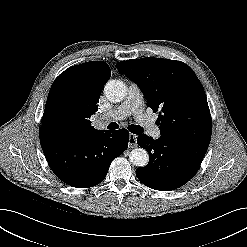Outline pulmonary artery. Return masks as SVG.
Here are the masks:
<instances>
[{
    "label": "pulmonary artery",
    "instance_id": "e3ab8cb5",
    "mask_svg": "<svg viewBox=\"0 0 247 247\" xmlns=\"http://www.w3.org/2000/svg\"><path fill=\"white\" fill-rule=\"evenodd\" d=\"M130 115H132L153 138L158 139L161 136L159 128L154 125L152 118L145 113L143 95L135 84L129 86L126 98L122 104L104 115L99 122L105 123L108 120H122Z\"/></svg>",
    "mask_w": 247,
    "mask_h": 247
}]
</instances>
